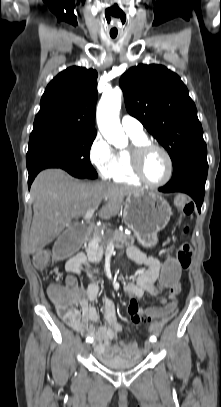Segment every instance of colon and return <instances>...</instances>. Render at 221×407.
<instances>
[{"mask_svg": "<svg viewBox=\"0 0 221 407\" xmlns=\"http://www.w3.org/2000/svg\"><path fill=\"white\" fill-rule=\"evenodd\" d=\"M177 208L186 216L193 213V204L185 195H179L175 199ZM90 225L88 222H71L69 230L64 234H59V246L54 247V254L59 255V259H65V255H78V249H82L84 239H88ZM189 226L182 227L183 233L189 232ZM193 250L188 244L180 247L177 258L173 252L163 258L161 263V274L159 279V292H172L173 286L180 285V277L183 270H186L192 260ZM35 268L40 270L47 264L45 254L35 256ZM49 297L53 301L59 315L68 314L76 305V291L70 286L52 285L48 290ZM179 306V298L171 299L167 305H152L150 309L146 307L143 314L144 322H151L154 319L169 318L171 313L175 312Z\"/></svg>", "mask_w": 221, "mask_h": 407, "instance_id": "5ec220e1", "label": "colon"}]
</instances>
